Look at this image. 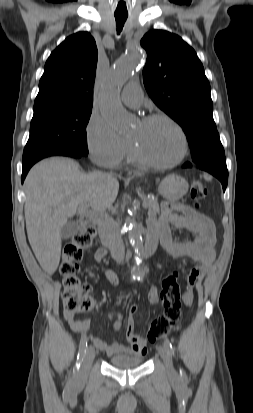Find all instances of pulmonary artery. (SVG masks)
<instances>
[{
  "label": "pulmonary artery",
  "instance_id": "e3ab8cb5",
  "mask_svg": "<svg viewBox=\"0 0 253 413\" xmlns=\"http://www.w3.org/2000/svg\"><path fill=\"white\" fill-rule=\"evenodd\" d=\"M123 103L131 108H137L143 100L142 90L137 82L126 85L121 94Z\"/></svg>",
  "mask_w": 253,
  "mask_h": 413
}]
</instances>
